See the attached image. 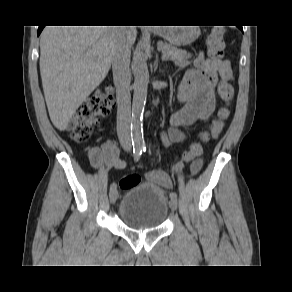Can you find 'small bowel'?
Listing matches in <instances>:
<instances>
[{
	"label": "small bowel",
	"instance_id": "small-bowel-1",
	"mask_svg": "<svg viewBox=\"0 0 292 292\" xmlns=\"http://www.w3.org/2000/svg\"><path fill=\"white\" fill-rule=\"evenodd\" d=\"M192 63L193 66L186 72L178 91L184 107L172 116L170 128L162 135L165 146L186 139L182 127L208 120L216 107L215 86L218 79L229 82L233 78V70L228 60L206 58L199 52ZM187 64L188 61L185 60L178 62L182 67ZM222 127V119L213 121V136H217ZM88 158L91 165L99 171L126 167V161L121 158L120 150L113 140H106L100 146H91ZM201 167L202 159H195L191 164V174H197ZM173 172L180 174L181 165H175ZM145 178L165 189L172 188L171 176L163 170H150L145 173Z\"/></svg>",
	"mask_w": 292,
	"mask_h": 292
}]
</instances>
